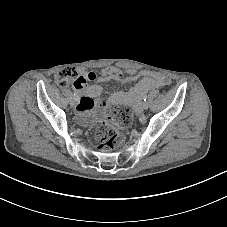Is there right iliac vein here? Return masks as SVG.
<instances>
[{
	"label": "right iliac vein",
	"mask_w": 227,
	"mask_h": 227,
	"mask_svg": "<svg viewBox=\"0 0 227 227\" xmlns=\"http://www.w3.org/2000/svg\"><path fill=\"white\" fill-rule=\"evenodd\" d=\"M70 104H71V106L74 107L78 104V102L74 98H72L71 101H70Z\"/></svg>",
	"instance_id": "63e3f726"
}]
</instances>
